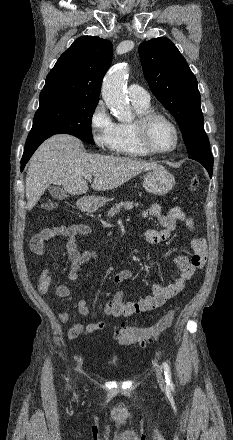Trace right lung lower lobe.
<instances>
[{
    "label": "right lung lower lobe",
    "instance_id": "obj_1",
    "mask_svg": "<svg viewBox=\"0 0 233 440\" xmlns=\"http://www.w3.org/2000/svg\"><path fill=\"white\" fill-rule=\"evenodd\" d=\"M50 136L52 135H28L23 157L21 159V171L24 169L25 164L28 162L38 146Z\"/></svg>",
    "mask_w": 233,
    "mask_h": 440
}]
</instances>
